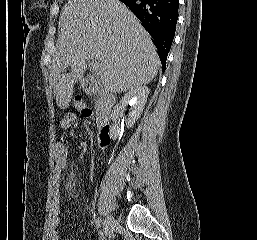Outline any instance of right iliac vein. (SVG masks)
Returning a JSON list of instances; mask_svg holds the SVG:
<instances>
[{
    "mask_svg": "<svg viewBox=\"0 0 257 240\" xmlns=\"http://www.w3.org/2000/svg\"><path fill=\"white\" fill-rule=\"evenodd\" d=\"M116 225V221L112 215H108L104 221V233L110 234Z\"/></svg>",
    "mask_w": 257,
    "mask_h": 240,
    "instance_id": "1",
    "label": "right iliac vein"
}]
</instances>
